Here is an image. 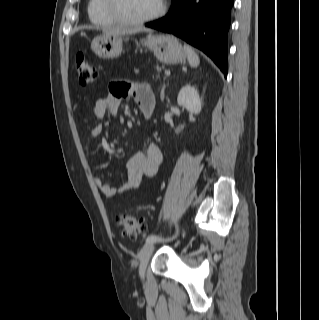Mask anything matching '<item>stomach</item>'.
Returning <instances> with one entry per match:
<instances>
[{
    "instance_id": "obj_1",
    "label": "stomach",
    "mask_w": 319,
    "mask_h": 320,
    "mask_svg": "<svg viewBox=\"0 0 319 320\" xmlns=\"http://www.w3.org/2000/svg\"><path fill=\"white\" fill-rule=\"evenodd\" d=\"M140 44L152 51L162 63L179 64L186 60L185 51L173 35L149 34L141 39ZM91 49L103 59L119 57L123 49V38L121 35L108 34L96 36L91 42Z\"/></svg>"
}]
</instances>
